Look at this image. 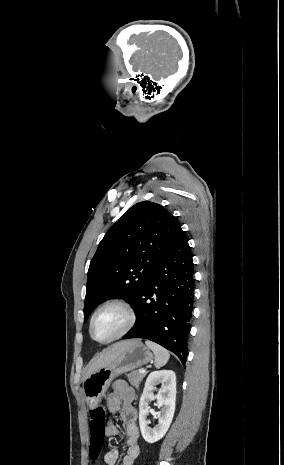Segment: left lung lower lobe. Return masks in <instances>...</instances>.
I'll list each match as a JSON object with an SVG mask.
<instances>
[{
    "instance_id": "0a47b994",
    "label": "left lung lower lobe",
    "mask_w": 284,
    "mask_h": 465,
    "mask_svg": "<svg viewBox=\"0 0 284 465\" xmlns=\"http://www.w3.org/2000/svg\"><path fill=\"white\" fill-rule=\"evenodd\" d=\"M194 303V270L188 240L180 229L175 242L145 281L135 304L137 321L123 337L151 340L175 353L183 365Z\"/></svg>"
}]
</instances>
